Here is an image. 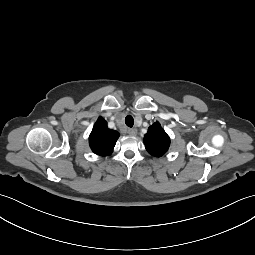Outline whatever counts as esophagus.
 I'll list each match as a JSON object with an SVG mask.
<instances>
[{
  "label": "esophagus",
  "instance_id": "esophagus-1",
  "mask_svg": "<svg viewBox=\"0 0 255 255\" xmlns=\"http://www.w3.org/2000/svg\"><path fill=\"white\" fill-rule=\"evenodd\" d=\"M127 132L131 136H136V134H137V130L136 129H128Z\"/></svg>",
  "mask_w": 255,
  "mask_h": 255
}]
</instances>
